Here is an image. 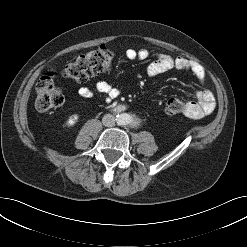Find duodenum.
Wrapping results in <instances>:
<instances>
[{
    "mask_svg": "<svg viewBox=\"0 0 247 247\" xmlns=\"http://www.w3.org/2000/svg\"><path fill=\"white\" fill-rule=\"evenodd\" d=\"M125 108L123 107V106H120V107H118V108H116V110L118 111V112H120V111H122V110H124Z\"/></svg>",
    "mask_w": 247,
    "mask_h": 247,
    "instance_id": "obj_1",
    "label": "duodenum"
}]
</instances>
